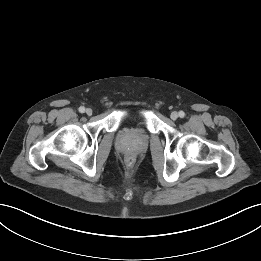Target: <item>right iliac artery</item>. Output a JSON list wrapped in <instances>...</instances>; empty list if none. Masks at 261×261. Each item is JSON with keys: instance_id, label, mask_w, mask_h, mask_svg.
I'll return each mask as SVG.
<instances>
[{"instance_id": "1", "label": "right iliac artery", "mask_w": 261, "mask_h": 261, "mask_svg": "<svg viewBox=\"0 0 261 261\" xmlns=\"http://www.w3.org/2000/svg\"><path fill=\"white\" fill-rule=\"evenodd\" d=\"M79 112L80 113H84L85 112V107H83V106L79 107Z\"/></svg>"}]
</instances>
